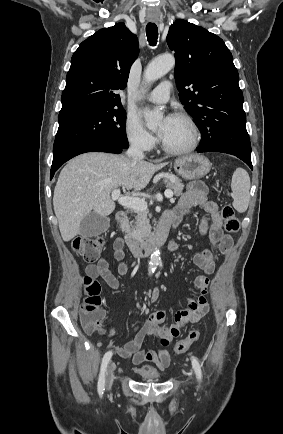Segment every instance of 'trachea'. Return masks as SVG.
Segmentation results:
<instances>
[{"instance_id": "trachea-1", "label": "trachea", "mask_w": 283, "mask_h": 434, "mask_svg": "<svg viewBox=\"0 0 283 434\" xmlns=\"http://www.w3.org/2000/svg\"><path fill=\"white\" fill-rule=\"evenodd\" d=\"M146 34L149 45L155 46L158 39V28L155 23H148L146 26Z\"/></svg>"}]
</instances>
